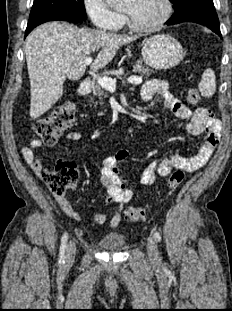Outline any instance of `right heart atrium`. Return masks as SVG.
Here are the masks:
<instances>
[{
    "label": "right heart atrium",
    "instance_id": "d8ad5b80",
    "mask_svg": "<svg viewBox=\"0 0 232 311\" xmlns=\"http://www.w3.org/2000/svg\"><path fill=\"white\" fill-rule=\"evenodd\" d=\"M83 7L93 25L99 30H116L123 21V15L112 10L106 0H83Z\"/></svg>",
    "mask_w": 232,
    "mask_h": 311
}]
</instances>
